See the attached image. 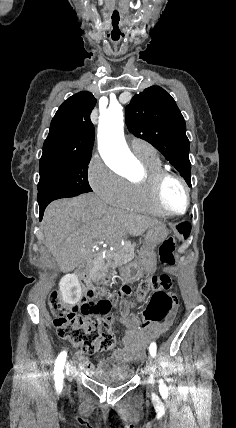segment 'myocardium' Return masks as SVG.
Returning <instances> with one entry per match:
<instances>
[{
  "instance_id": "myocardium-1",
  "label": "myocardium",
  "mask_w": 236,
  "mask_h": 428,
  "mask_svg": "<svg viewBox=\"0 0 236 428\" xmlns=\"http://www.w3.org/2000/svg\"><path fill=\"white\" fill-rule=\"evenodd\" d=\"M175 181L181 185L185 193V205L181 210L171 208L164 199V187L167 182ZM149 192L155 206L168 216H178L184 214L191 205V190L187 181L168 170H161L149 177Z\"/></svg>"
}]
</instances>
